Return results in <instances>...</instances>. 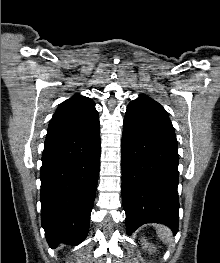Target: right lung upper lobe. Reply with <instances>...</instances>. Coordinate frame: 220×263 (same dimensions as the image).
<instances>
[{
    "label": "right lung upper lobe",
    "instance_id": "right-lung-upper-lobe-1",
    "mask_svg": "<svg viewBox=\"0 0 220 263\" xmlns=\"http://www.w3.org/2000/svg\"><path fill=\"white\" fill-rule=\"evenodd\" d=\"M95 103L88 97L74 95L64 101L54 113L47 136L80 138L99 127Z\"/></svg>",
    "mask_w": 220,
    "mask_h": 263
}]
</instances>
